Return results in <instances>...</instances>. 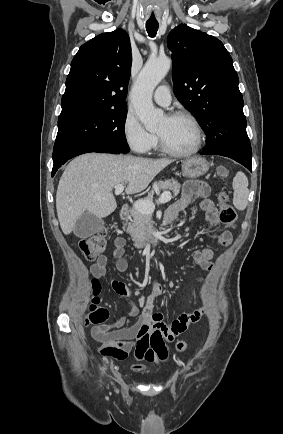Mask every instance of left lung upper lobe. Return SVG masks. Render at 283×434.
Here are the masks:
<instances>
[{"label":"left lung upper lobe","instance_id":"1","mask_svg":"<svg viewBox=\"0 0 283 434\" xmlns=\"http://www.w3.org/2000/svg\"><path fill=\"white\" fill-rule=\"evenodd\" d=\"M167 45L172 52L174 93L204 130V151L237 162L251 159L239 79L224 44L181 24L170 32Z\"/></svg>","mask_w":283,"mask_h":434}]
</instances>
